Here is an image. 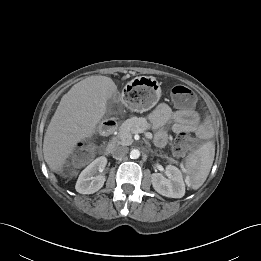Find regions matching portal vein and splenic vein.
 Listing matches in <instances>:
<instances>
[{
  "instance_id": "portal-vein-and-splenic-vein-1",
  "label": "portal vein and splenic vein",
  "mask_w": 261,
  "mask_h": 261,
  "mask_svg": "<svg viewBox=\"0 0 261 261\" xmlns=\"http://www.w3.org/2000/svg\"><path fill=\"white\" fill-rule=\"evenodd\" d=\"M142 132H143V130H141V129H139V130L137 131V133H142ZM145 135H146V137L149 138V139L152 138V134H151L150 132L145 133Z\"/></svg>"
}]
</instances>
